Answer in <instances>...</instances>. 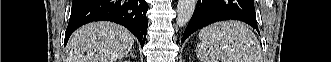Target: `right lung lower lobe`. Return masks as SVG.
Returning <instances> with one entry per match:
<instances>
[{
  "mask_svg": "<svg viewBox=\"0 0 331 62\" xmlns=\"http://www.w3.org/2000/svg\"><path fill=\"white\" fill-rule=\"evenodd\" d=\"M147 10L145 0H73L64 44L78 27L92 21L107 20L126 27L143 47L148 26Z\"/></svg>",
  "mask_w": 331,
  "mask_h": 62,
  "instance_id": "right-lung-lower-lobe-1",
  "label": "right lung lower lobe"
}]
</instances>
